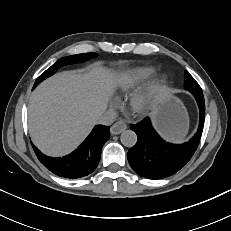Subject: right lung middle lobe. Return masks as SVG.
Instances as JSON below:
<instances>
[{
	"label": "right lung middle lobe",
	"mask_w": 231,
	"mask_h": 231,
	"mask_svg": "<svg viewBox=\"0 0 231 231\" xmlns=\"http://www.w3.org/2000/svg\"><path fill=\"white\" fill-rule=\"evenodd\" d=\"M96 56H97L96 53H84V54L67 56V57H64L58 60L55 64H53L50 68H48L44 73H42L37 78L33 88H35L41 81H43L47 77L53 75L57 71V69L60 68L61 66L68 65V64H74L78 62H84Z\"/></svg>",
	"instance_id": "obj_1"
}]
</instances>
